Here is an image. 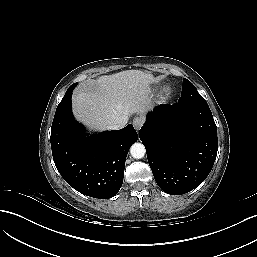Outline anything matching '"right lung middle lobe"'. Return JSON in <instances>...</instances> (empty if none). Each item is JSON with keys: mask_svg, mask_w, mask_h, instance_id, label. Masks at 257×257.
Masks as SVG:
<instances>
[{"mask_svg": "<svg viewBox=\"0 0 257 257\" xmlns=\"http://www.w3.org/2000/svg\"><path fill=\"white\" fill-rule=\"evenodd\" d=\"M76 85H77V83H75V84H73L72 86L69 87V89L66 91V94L64 95L62 101L59 103L58 107L62 106L63 104H65V103H67L68 101L71 100L72 91H73V89Z\"/></svg>", "mask_w": 257, "mask_h": 257, "instance_id": "1", "label": "right lung middle lobe"}]
</instances>
